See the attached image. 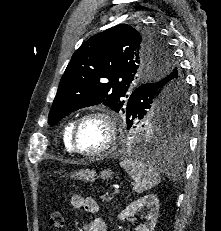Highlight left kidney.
Here are the masks:
<instances>
[{"mask_svg":"<svg viewBox=\"0 0 221 231\" xmlns=\"http://www.w3.org/2000/svg\"><path fill=\"white\" fill-rule=\"evenodd\" d=\"M144 208L147 211L146 222L137 226L136 231H154L159 215V200L154 194L146 195L129 204L121 211L118 218L120 221H125L126 218Z\"/></svg>","mask_w":221,"mask_h":231,"instance_id":"1","label":"left kidney"}]
</instances>
